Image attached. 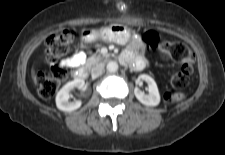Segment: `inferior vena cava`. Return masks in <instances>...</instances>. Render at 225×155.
Wrapping results in <instances>:
<instances>
[{"mask_svg":"<svg viewBox=\"0 0 225 155\" xmlns=\"http://www.w3.org/2000/svg\"><path fill=\"white\" fill-rule=\"evenodd\" d=\"M103 71H104V64L99 63L91 69V76L93 78H97L102 74Z\"/></svg>","mask_w":225,"mask_h":155,"instance_id":"1","label":"inferior vena cava"}]
</instances>
